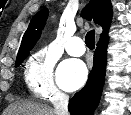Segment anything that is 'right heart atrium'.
Returning <instances> with one entry per match:
<instances>
[{"label": "right heart atrium", "mask_w": 131, "mask_h": 115, "mask_svg": "<svg viewBox=\"0 0 131 115\" xmlns=\"http://www.w3.org/2000/svg\"><path fill=\"white\" fill-rule=\"evenodd\" d=\"M56 58L47 48L34 52L25 64L24 81L28 90L44 100L65 99L66 94L54 80Z\"/></svg>", "instance_id": "1"}]
</instances>
